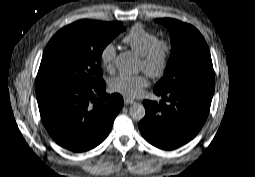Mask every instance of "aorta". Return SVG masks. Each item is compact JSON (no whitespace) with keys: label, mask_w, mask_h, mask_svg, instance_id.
I'll use <instances>...</instances> for the list:
<instances>
[{"label":"aorta","mask_w":255,"mask_h":177,"mask_svg":"<svg viewBox=\"0 0 255 177\" xmlns=\"http://www.w3.org/2000/svg\"><path fill=\"white\" fill-rule=\"evenodd\" d=\"M116 67L122 73L134 74L138 72L136 60L130 52H122L117 56ZM145 114V107L140 103H134L129 109V115L135 121L142 120Z\"/></svg>","instance_id":"762f6f07"}]
</instances>
